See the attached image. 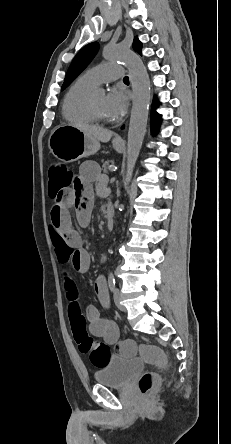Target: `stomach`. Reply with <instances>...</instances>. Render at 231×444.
Masks as SVG:
<instances>
[{"mask_svg": "<svg viewBox=\"0 0 231 444\" xmlns=\"http://www.w3.org/2000/svg\"><path fill=\"white\" fill-rule=\"evenodd\" d=\"M117 152L124 149L123 143L113 142ZM49 148L53 155L64 162H73L95 154L100 149L99 141L71 125L57 126L49 138Z\"/></svg>", "mask_w": 231, "mask_h": 444, "instance_id": "0dacf381", "label": "stomach"}]
</instances>
